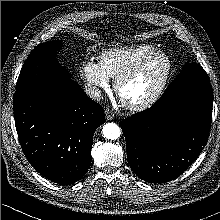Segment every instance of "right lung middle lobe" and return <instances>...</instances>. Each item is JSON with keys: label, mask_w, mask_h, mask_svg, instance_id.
Wrapping results in <instances>:
<instances>
[{"label": "right lung middle lobe", "mask_w": 220, "mask_h": 220, "mask_svg": "<svg viewBox=\"0 0 220 220\" xmlns=\"http://www.w3.org/2000/svg\"><path fill=\"white\" fill-rule=\"evenodd\" d=\"M61 46L60 42L51 41L35 47L20 72L16 90L33 88L41 83H53L70 78V74L55 59Z\"/></svg>", "instance_id": "obj_1"}]
</instances>
